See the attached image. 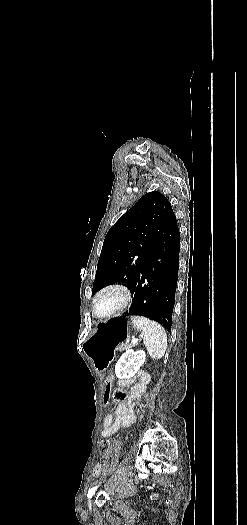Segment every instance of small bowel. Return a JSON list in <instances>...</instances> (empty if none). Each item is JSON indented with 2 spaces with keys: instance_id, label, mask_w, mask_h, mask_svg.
<instances>
[{
  "instance_id": "1",
  "label": "small bowel",
  "mask_w": 247,
  "mask_h": 525,
  "mask_svg": "<svg viewBox=\"0 0 247 525\" xmlns=\"http://www.w3.org/2000/svg\"><path fill=\"white\" fill-rule=\"evenodd\" d=\"M151 377L145 371H139L135 377L134 384L131 391L124 396V398L118 401L114 414H110L105 417L103 422L102 437L109 438L117 430L127 426L133 416V406L136 401L140 400L145 393L148 384L150 383ZM116 460V455H109L108 462L112 463ZM102 472V466L96 464L93 468V475L99 477Z\"/></svg>"
}]
</instances>
